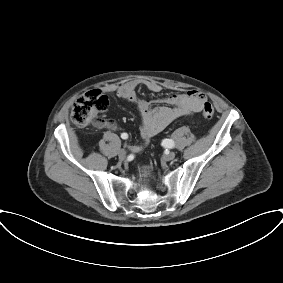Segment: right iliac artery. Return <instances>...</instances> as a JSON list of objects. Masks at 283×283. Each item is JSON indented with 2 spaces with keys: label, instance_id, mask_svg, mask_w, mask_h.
I'll list each match as a JSON object with an SVG mask.
<instances>
[{
  "label": "right iliac artery",
  "instance_id": "82829eb1",
  "mask_svg": "<svg viewBox=\"0 0 283 283\" xmlns=\"http://www.w3.org/2000/svg\"><path fill=\"white\" fill-rule=\"evenodd\" d=\"M121 138L122 139H127L128 138V134L127 133H122L121 134Z\"/></svg>",
  "mask_w": 283,
  "mask_h": 283
}]
</instances>
